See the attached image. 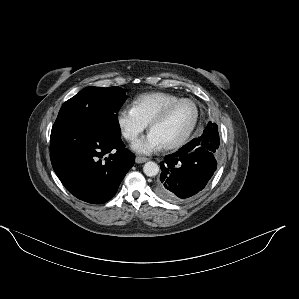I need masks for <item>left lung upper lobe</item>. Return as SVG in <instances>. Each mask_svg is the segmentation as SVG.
<instances>
[{"label": "left lung upper lobe", "instance_id": "5c2ea615", "mask_svg": "<svg viewBox=\"0 0 299 299\" xmlns=\"http://www.w3.org/2000/svg\"><path fill=\"white\" fill-rule=\"evenodd\" d=\"M204 132L208 135V140L212 143L214 147V152L218 153V147L220 144L219 134H218V126L215 123L209 122Z\"/></svg>", "mask_w": 299, "mask_h": 299}]
</instances>
